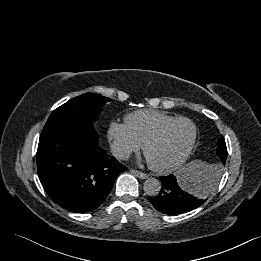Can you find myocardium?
<instances>
[{
    "mask_svg": "<svg viewBox=\"0 0 261 261\" xmlns=\"http://www.w3.org/2000/svg\"><path fill=\"white\" fill-rule=\"evenodd\" d=\"M179 122H187L192 126V138L191 141L188 145V147L186 148V150L184 151V153L182 154V156L177 159L175 162L168 164V165H164V166H159V165H155L153 163H151L148 158H147V152L149 147L154 144L155 142H157L162 136L163 134L174 124L179 123ZM197 126L196 124L189 118L186 117H176L166 123H164L163 125H161L154 133H152L144 142L143 144V153L145 155V157L147 158L149 167L158 173H169L172 172L174 170H176L177 168H179L184 162H186V160L189 158V156L191 155L195 144H196V140H197Z\"/></svg>",
    "mask_w": 261,
    "mask_h": 261,
    "instance_id": "obj_1",
    "label": "myocardium"
}]
</instances>
